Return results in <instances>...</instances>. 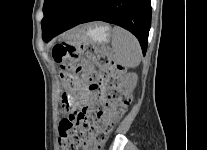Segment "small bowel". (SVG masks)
Wrapping results in <instances>:
<instances>
[{"label": "small bowel", "instance_id": "1", "mask_svg": "<svg viewBox=\"0 0 207 150\" xmlns=\"http://www.w3.org/2000/svg\"><path fill=\"white\" fill-rule=\"evenodd\" d=\"M72 77V76H70ZM76 80V86L71 87V96H67V99H81L84 102H92L94 99L90 95V93L87 91V89L84 87V85L74 77ZM64 97V96H63ZM64 99V98H63ZM70 108V107H68Z\"/></svg>", "mask_w": 207, "mask_h": 150}]
</instances>
